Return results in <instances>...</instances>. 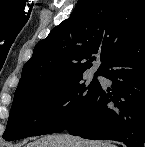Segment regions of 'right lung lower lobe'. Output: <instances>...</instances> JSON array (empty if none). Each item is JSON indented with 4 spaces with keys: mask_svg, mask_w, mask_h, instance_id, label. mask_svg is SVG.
Returning <instances> with one entry per match:
<instances>
[{
    "mask_svg": "<svg viewBox=\"0 0 145 147\" xmlns=\"http://www.w3.org/2000/svg\"><path fill=\"white\" fill-rule=\"evenodd\" d=\"M100 75L112 81L99 86L88 106L65 129L93 140H115L127 147L145 143V31L122 47Z\"/></svg>",
    "mask_w": 145,
    "mask_h": 147,
    "instance_id": "obj_1",
    "label": "right lung lower lobe"
}]
</instances>
